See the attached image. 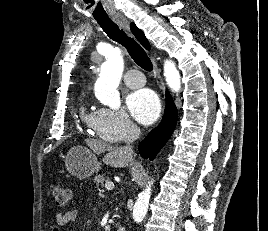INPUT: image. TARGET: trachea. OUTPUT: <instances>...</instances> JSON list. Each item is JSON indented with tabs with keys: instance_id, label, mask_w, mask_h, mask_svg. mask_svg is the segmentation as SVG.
Wrapping results in <instances>:
<instances>
[{
	"instance_id": "1",
	"label": "trachea",
	"mask_w": 268,
	"mask_h": 231,
	"mask_svg": "<svg viewBox=\"0 0 268 231\" xmlns=\"http://www.w3.org/2000/svg\"><path fill=\"white\" fill-rule=\"evenodd\" d=\"M110 39L124 46L134 62L146 71L152 70V62L144 49L133 38L129 37L110 18L96 19Z\"/></svg>"
}]
</instances>
